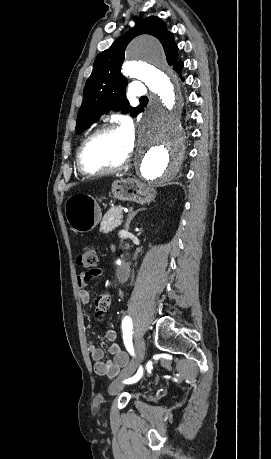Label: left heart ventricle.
<instances>
[{
  "label": "left heart ventricle",
  "mask_w": 271,
  "mask_h": 459,
  "mask_svg": "<svg viewBox=\"0 0 271 459\" xmlns=\"http://www.w3.org/2000/svg\"><path fill=\"white\" fill-rule=\"evenodd\" d=\"M131 147L121 132H107L93 138L86 146L84 158L88 165L99 166L115 163L131 151Z\"/></svg>",
  "instance_id": "obj_1"
}]
</instances>
